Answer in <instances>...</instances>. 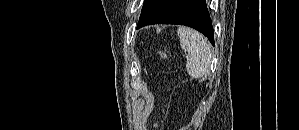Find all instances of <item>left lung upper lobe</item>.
I'll use <instances>...</instances> for the list:
<instances>
[{
  "instance_id": "left-lung-upper-lobe-1",
  "label": "left lung upper lobe",
  "mask_w": 299,
  "mask_h": 130,
  "mask_svg": "<svg viewBox=\"0 0 299 130\" xmlns=\"http://www.w3.org/2000/svg\"><path fill=\"white\" fill-rule=\"evenodd\" d=\"M151 1H152V0H145V1H144L143 8H142V12H141L139 21H140L142 18H144V16L147 14V12H148V10H149V8H150Z\"/></svg>"
}]
</instances>
